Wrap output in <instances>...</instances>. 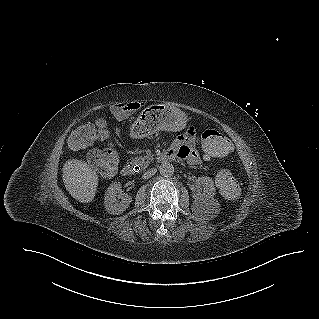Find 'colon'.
<instances>
[{
  "label": "colon",
  "instance_id": "5ec220e1",
  "mask_svg": "<svg viewBox=\"0 0 319 319\" xmlns=\"http://www.w3.org/2000/svg\"><path fill=\"white\" fill-rule=\"evenodd\" d=\"M115 106L113 107V112ZM106 135L105 125L87 124L79 127L71 134L68 140V147L72 150H80L85 148L95 138H104ZM201 138L205 151L213 161L223 163L232 157L234 152L233 142L227 134L210 129L204 131ZM89 162L103 174L111 175L117 168L118 157L113 147L108 145L104 148L93 150L89 155ZM218 184L226 198L232 199L239 195V185L228 171L222 170L219 172Z\"/></svg>",
  "mask_w": 319,
  "mask_h": 319
}]
</instances>
